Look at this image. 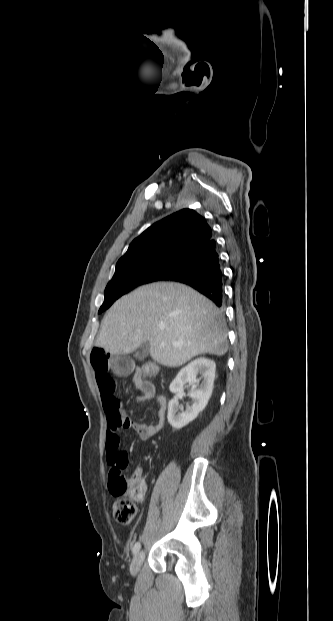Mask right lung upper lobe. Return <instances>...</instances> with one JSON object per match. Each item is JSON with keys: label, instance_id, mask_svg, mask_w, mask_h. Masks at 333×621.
Instances as JSON below:
<instances>
[{"label": "right lung upper lobe", "instance_id": "1", "mask_svg": "<svg viewBox=\"0 0 333 621\" xmlns=\"http://www.w3.org/2000/svg\"><path fill=\"white\" fill-rule=\"evenodd\" d=\"M214 237L206 219L182 209L154 223L130 244L117 263L178 257L186 258Z\"/></svg>", "mask_w": 333, "mask_h": 621}]
</instances>
